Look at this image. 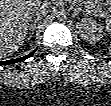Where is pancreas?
<instances>
[{"instance_id": "1", "label": "pancreas", "mask_w": 111, "mask_h": 106, "mask_svg": "<svg viewBox=\"0 0 111 106\" xmlns=\"http://www.w3.org/2000/svg\"><path fill=\"white\" fill-rule=\"evenodd\" d=\"M80 3L84 6V10L93 16L107 18L111 20V1L101 0H82Z\"/></svg>"}]
</instances>
